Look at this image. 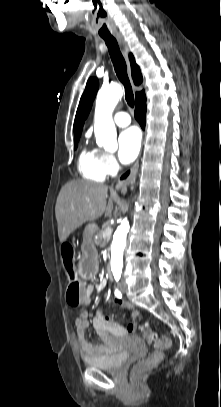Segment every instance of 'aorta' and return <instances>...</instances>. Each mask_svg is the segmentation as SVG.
Segmentation results:
<instances>
[{"mask_svg": "<svg viewBox=\"0 0 221 407\" xmlns=\"http://www.w3.org/2000/svg\"><path fill=\"white\" fill-rule=\"evenodd\" d=\"M123 95L119 84H111L102 88L96 99L94 116V133L96 143L106 150L116 146V128L112 113ZM129 221L124 218L117 227L111 246V271L116 280L121 277L123 268V252L126 246V236L129 231Z\"/></svg>", "mask_w": 221, "mask_h": 407, "instance_id": "1", "label": "aorta"}]
</instances>
